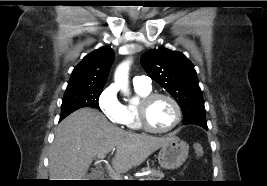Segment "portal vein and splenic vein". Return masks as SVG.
Instances as JSON below:
<instances>
[{"instance_id":"18ae733b","label":"portal vein and splenic vein","mask_w":267,"mask_h":186,"mask_svg":"<svg viewBox=\"0 0 267 186\" xmlns=\"http://www.w3.org/2000/svg\"><path fill=\"white\" fill-rule=\"evenodd\" d=\"M105 157H106L105 154H99V155H98V158H99V161H100V162H103ZM107 169H108V171H109L110 177H111L113 180H120V176H119L117 173H115V172L111 169V167L108 166ZM141 180H144V179H141Z\"/></svg>"}]
</instances>
